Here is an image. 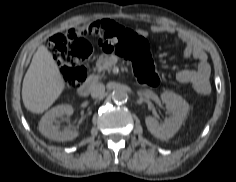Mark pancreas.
Instances as JSON below:
<instances>
[{"label": "pancreas", "mask_w": 236, "mask_h": 182, "mask_svg": "<svg viewBox=\"0 0 236 182\" xmlns=\"http://www.w3.org/2000/svg\"><path fill=\"white\" fill-rule=\"evenodd\" d=\"M97 68L98 71H103V70H107L110 71L112 69V63L109 60L108 56H101L99 57V59L97 60Z\"/></svg>", "instance_id": "obj_1"}]
</instances>
